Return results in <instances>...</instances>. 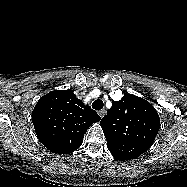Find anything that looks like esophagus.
<instances>
[{
  "mask_svg": "<svg viewBox=\"0 0 187 187\" xmlns=\"http://www.w3.org/2000/svg\"><path fill=\"white\" fill-rule=\"evenodd\" d=\"M98 114H99V116H100L101 118H103V117L105 116V114H106V110H105V109H102V110L98 111Z\"/></svg>",
  "mask_w": 187,
  "mask_h": 187,
  "instance_id": "1",
  "label": "esophagus"
}]
</instances>
